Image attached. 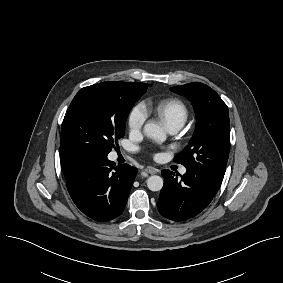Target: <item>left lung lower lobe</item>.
Returning <instances> with one entry per match:
<instances>
[{
	"instance_id": "0a47b994",
	"label": "left lung lower lobe",
	"mask_w": 283,
	"mask_h": 283,
	"mask_svg": "<svg viewBox=\"0 0 283 283\" xmlns=\"http://www.w3.org/2000/svg\"><path fill=\"white\" fill-rule=\"evenodd\" d=\"M162 175L164 185L157 207L162 216L174 221L187 220L199 214L220 187L188 169L181 179L169 170H163Z\"/></svg>"
}]
</instances>
